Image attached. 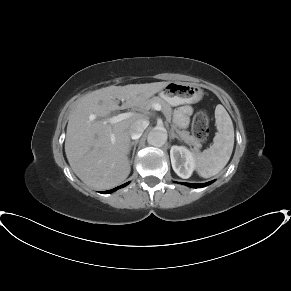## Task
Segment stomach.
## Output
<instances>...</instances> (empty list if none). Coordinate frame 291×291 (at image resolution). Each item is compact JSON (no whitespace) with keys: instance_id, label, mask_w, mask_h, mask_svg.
<instances>
[{"instance_id":"0dacf381","label":"stomach","mask_w":291,"mask_h":291,"mask_svg":"<svg viewBox=\"0 0 291 291\" xmlns=\"http://www.w3.org/2000/svg\"><path fill=\"white\" fill-rule=\"evenodd\" d=\"M159 95L169 104L176 106L184 103H195L203 96L201 88L189 83L169 82Z\"/></svg>"}]
</instances>
